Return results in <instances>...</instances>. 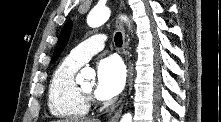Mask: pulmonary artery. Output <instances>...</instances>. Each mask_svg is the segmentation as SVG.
Wrapping results in <instances>:
<instances>
[{"mask_svg":"<svg viewBox=\"0 0 221 122\" xmlns=\"http://www.w3.org/2000/svg\"><path fill=\"white\" fill-rule=\"evenodd\" d=\"M106 36L104 34H96L86 39L76 46L69 54V58L83 65L93 55L101 51L105 47Z\"/></svg>","mask_w":221,"mask_h":122,"instance_id":"pulmonary-artery-1","label":"pulmonary artery"}]
</instances>
